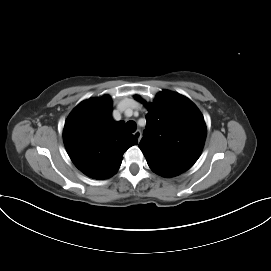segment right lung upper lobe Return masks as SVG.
<instances>
[{
    "label": "right lung upper lobe",
    "mask_w": 271,
    "mask_h": 271,
    "mask_svg": "<svg viewBox=\"0 0 271 271\" xmlns=\"http://www.w3.org/2000/svg\"><path fill=\"white\" fill-rule=\"evenodd\" d=\"M109 96L81 102L68 116L63 132L66 150L75 166L94 179H106L119 169L124 152L137 139L123 121L111 117Z\"/></svg>",
    "instance_id": "obj_1"
}]
</instances>
